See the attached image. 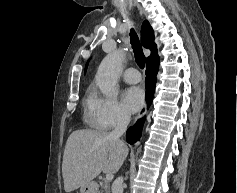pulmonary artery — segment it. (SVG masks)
Here are the masks:
<instances>
[{"mask_svg": "<svg viewBox=\"0 0 237 193\" xmlns=\"http://www.w3.org/2000/svg\"><path fill=\"white\" fill-rule=\"evenodd\" d=\"M123 79L127 83H138L141 80V74L136 68L130 67L124 72Z\"/></svg>", "mask_w": 237, "mask_h": 193, "instance_id": "1", "label": "pulmonary artery"}]
</instances>
